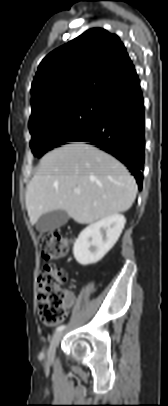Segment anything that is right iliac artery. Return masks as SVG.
<instances>
[{"label": "right iliac artery", "mask_w": 168, "mask_h": 406, "mask_svg": "<svg viewBox=\"0 0 168 406\" xmlns=\"http://www.w3.org/2000/svg\"><path fill=\"white\" fill-rule=\"evenodd\" d=\"M65 327H66L65 325H60V326H58V327L56 328V332L64 330Z\"/></svg>", "instance_id": "right-iliac-artery-1"}]
</instances>
